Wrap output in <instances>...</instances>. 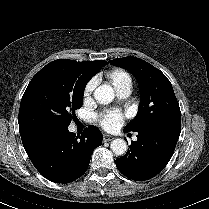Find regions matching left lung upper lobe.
Segmentation results:
<instances>
[{
    "instance_id": "1",
    "label": "left lung upper lobe",
    "mask_w": 209,
    "mask_h": 209,
    "mask_svg": "<svg viewBox=\"0 0 209 209\" xmlns=\"http://www.w3.org/2000/svg\"><path fill=\"white\" fill-rule=\"evenodd\" d=\"M109 62L130 71L139 83L141 95L139 110L124 131L181 128L178 101L170 81L159 69L133 56L117 58Z\"/></svg>"
}]
</instances>
